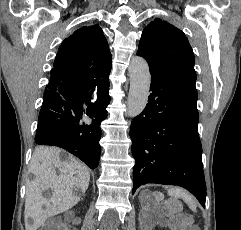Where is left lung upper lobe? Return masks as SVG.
<instances>
[{"label":"left lung upper lobe","mask_w":241,"mask_h":230,"mask_svg":"<svg viewBox=\"0 0 241 230\" xmlns=\"http://www.w3.org/2000/svg\"><path fill=\"white\" fill-rule=\"evenodd\" d=\"M138 56L149 65L151 76L196 90L194 54L185 34L159 18L142 32Z\"/></svg>","instance_id":"obj_1"}]
</instances>
